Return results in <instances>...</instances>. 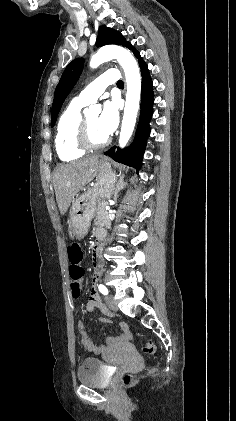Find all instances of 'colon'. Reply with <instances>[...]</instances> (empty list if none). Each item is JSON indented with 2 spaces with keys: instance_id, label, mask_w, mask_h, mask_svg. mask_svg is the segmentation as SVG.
Here are the masks:
<instances>
[{
  "instance_id": "1",
  "label": "colon",
  "mask_w": 236,
  "mask_h": 421,
  "mask_svg": "<svg viewBox=\"0 0 236 421\" xmlns=\"http://www.w3.org/2000/svg\"><path fill=\"white\" fill-rule=\"evenodd\" d=\"M68 259L70 262L69 274L70 283L73 297L77 298L80 296L83 287L84 269L81 266L83 259V251L79 244L73 243L68 249ZM156 351V345L154 342H147L143 347V352L147 355H152ZM135 375L131 373H124L120 377V384L123 388H128L133 385L135 381Z\"/></svg>"
}]
</instances>
